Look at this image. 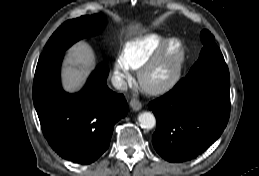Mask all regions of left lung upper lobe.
Here are the masks:
<instances>
[{"mask_svg":"<svg viewBox=\"0 0 259 176\" xmlns=\"http://www.w3.org/2000/svg\"><path fill=\"white\" fill-rule=\"evenodd\" d=\"M200 38L204 47L201 50L199 59L187 75H193L207 70L228 73V67L220 49L215 43L214 36L208 30H202Z\"/></svg>","mask_w":259,"mask_h":176,"instance_id":"5c2ea615","label":"left lung upper lobe"}]
</instances>
